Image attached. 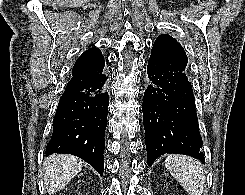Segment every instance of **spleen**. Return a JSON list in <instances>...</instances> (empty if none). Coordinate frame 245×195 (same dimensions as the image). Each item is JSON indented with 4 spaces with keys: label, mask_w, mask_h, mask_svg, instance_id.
<instances>
[{
    "label": "spleen",
    "mask_w": 245,
    "mask_h": 195,
    "mask_svg": "<svg viewBox=\"0 0 245 195\" xmlns=\"http://www.w3.org/2000/svg\"><path fill=\"white\" fill-rule=\"evenodd\" d=\"M165 166L190 195H202L206 181L199 161L184 155H168Z\"/></svg>",
    "instance_id": "spleen-1"
}]
</instances>
